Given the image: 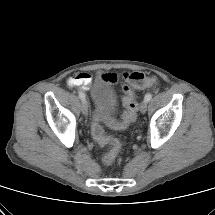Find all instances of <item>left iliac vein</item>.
I'll return each mask as SVG.
<instances>
[{
    "instance_id": "obj_1",
    "label": "left iliac vein",
    "mask_w": 215,
    "mask_h": 215,
    "mask_svg": "<svg viewBox=\"0 0 215 215\" xmlns=\"http://www.w3.org/2000/svg\"><path fill=\"white\" fill-rule=\"evenodd\" d=\"M140 111H141V113H146V111H147V101H142L141 102V105H140Z\"/></svg>"
}]
</instances>
